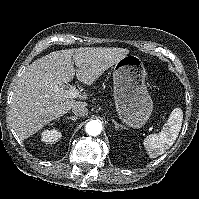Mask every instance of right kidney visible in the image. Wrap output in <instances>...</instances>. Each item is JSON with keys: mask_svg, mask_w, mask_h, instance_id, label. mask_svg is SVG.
Here are the masks:
<instances>
[{"mask_svg": "<svg viewBox=\"0 0 199 199\" xmlns=\"http://www.w3.org/2000/svg\"><path fill=\"white\" fill-rule=\"evenodd\" d=\"M62 137L61 132L56 129L44 130L41 133V140L47 144H53Z\"/></svg>", "mask_w": 199, "mask_h": 199, "instance_id": "right-kidney-1", "label": "right kidney"}]
</instances>
